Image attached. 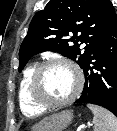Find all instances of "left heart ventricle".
I'll list each match as a JSON object with an SVG mask.
<instances>
[{
    "label": "left heart ventricle",
    "instance_id": "obj_1",
    "mask_svg": "<svg viewBox=\"0 0 117 131\" xmlns=\"http://www.w3.org/2000/svg\"><path fill=\"white\" fill-rule=\"evenodd\" d=\"M76 75L64 65L51 66L44 70L39 81V93L50 101H61L69 97L76 87Z\"/></svg>",
    "mask_w": 117,
    "mask_h": 131
}]
</instances>
